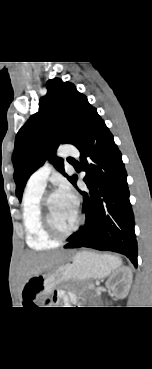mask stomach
<instances>
[{"mask_svg":"<svg viewBox=\"0 0 152 369\" xmlns=\"http://www.w3.org/2000/svg\"><path fill=\"white\" fill-rule=\"evenodd\" d=\"M120 260L111 255H99L92 252H79L69 263L60 267L55 273L46 275L43 273L30 277L22 288L25 301L33 299L37 302L40 298L50 294L61 280L77 279L90 280L104 278L118 268Z\"/></svg>","mask_w":152,"mask_h":369,"instance_id":"obj_1","label":"stomach"}]
</instances>
